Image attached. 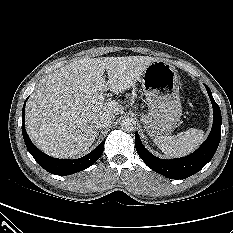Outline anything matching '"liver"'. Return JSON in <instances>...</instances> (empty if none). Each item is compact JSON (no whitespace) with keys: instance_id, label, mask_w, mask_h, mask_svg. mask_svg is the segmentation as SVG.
Returning <instances> with one entry per match:
<instances>
[{"instance_id":"liver-1","label":"liver","mask_w":233,"mask_h":233,"mask_svg":"<svg viewBox=\"0 0 233 233\" xmlns=\"http://www.w3.org/2000/svg\"><path fill=\"white\" fill-rule=\"evenodd\" d=\"M156 60L149 56L81 58L47 75L26 105L31 140L53 157L74 158L86 152L96 138L94 116L123 112L116 101H95L97 93L126 91Z\"/></svg>"}]
</instances>
